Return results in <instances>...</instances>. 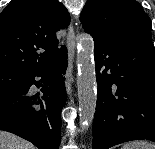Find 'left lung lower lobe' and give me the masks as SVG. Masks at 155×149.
<instances>
[{"mask_svg":"<svg viewBox=\"0 0 155 149\" xmlns=\"http://www.w3.org/2000/svg\"><path fill=\"white\" fill-rule=\"evenodd\" d=\"M93 149L155 142V50L151 39L95 43Z\"/></svg>","mask_w":155,"mask_h":149,"instance_id":"obj_1","label":"left lung lower lobe"}]
</instances>
